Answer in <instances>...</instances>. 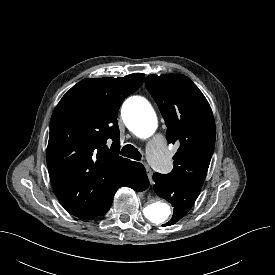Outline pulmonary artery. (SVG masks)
I'll use <instances>...</instances> for the list:
<instances>
[{
    "label": "pulmonary artery",
    "instance_id": "1",
    "mask_svg": "<svg viewBox=\"0 0 275 275\" xmlns=\"http://www.w3.org/2000/svg\"><path fill=\"white\" fill-rule=\"evenodd\" d=\"M147 155L150 163L159 171H164L168 165L165 140L156 135L147 144Z\"/></svg>",
    "mask_w": 275,
    "mask_h": 275
}]
</instances>
